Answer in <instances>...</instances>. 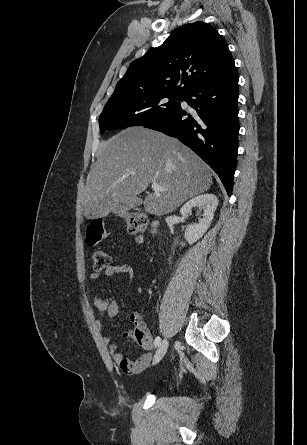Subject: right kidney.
Returning <instances> with one entry per match:
<instances>
[{
  "label": "right kidney",
  "mask_w": 307,
  "mask_h": 445,
  "mask_svg": "<svg viewBox=\"0 0 307 445\" xmlns=\"http://www.w3.org/2000/svg\"><path fill=\"white\" fill-rule=\"evenodd\" d=\"M217 204V196H215V194H211V192H206V194H199V196L191 198V200L185 202L182 208H180L181 214H186V212H189L192 206H198L200 210L201 208H203L204 210L202 214L203 218H200L199 223L188 225L185 231L184 237L189 245H193V243H196L198 239H201V237H203L207 229H209L211 220L214 216V210H216L217 208Z\"/></svg>",
  "instance_id": "ca27d5eb"
}]
</instances>
